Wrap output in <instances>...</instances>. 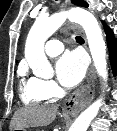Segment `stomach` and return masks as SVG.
<instances>
[{
    "instance_id": "0dacf381",
    "label": "stomach",
    "mask_w": 117,
    "mask_h": 131,
    "mask_svg": "<svg viewBox=\"0 0 117 131\" xmlns=\"http://www.w3.org/2000/svg\"><path fill=\"white\" fill-rule=\"evenodd\" d=\"M15 130H23V131H25L24 129H15Z\"/></svg>"
}]
</instances>
